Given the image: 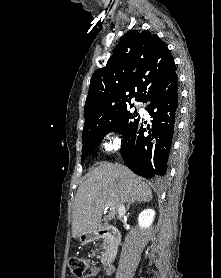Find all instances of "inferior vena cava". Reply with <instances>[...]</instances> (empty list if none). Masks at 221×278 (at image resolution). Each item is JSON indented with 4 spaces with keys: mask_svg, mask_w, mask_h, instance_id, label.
I'll return each mask as SVG.
<instances>
[{
    "mask_svg": "<svg viewBox=\"0 0 221 278\" xmlns=\"http://www.w3.org/2000/svg\"><path fill=\"white\" fill-rule=\"evenodd\" d=\"M124 204L123 203H121L120 205H119V207H118V212H122V211H124Z\"/></svg>",
    "mask_w": 221,
    "mask_h": 278,
    "instance_id": "602c4592",
    "label": "inferior vena cava"
}]
</instances>
